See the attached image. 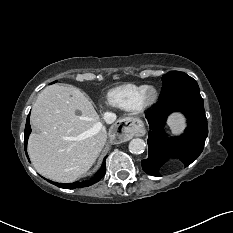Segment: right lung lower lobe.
<instances>
[{
    "label": "right lung lower lobe",
    "mask_w": 233,
    "mask_h": 233,
    "mask_svg": "<svg viewBox=\"0 0 233 233\" xmlns=\"http://www.w3.org/2000/svg\"><path fill=\"white\" fill-rule=\"evenodd\" d=\"M29 116H30V114L27 117L25 131H24V148H25V151L27 149L28 137H29V134L31 133V127H30V123H29ZM26 156L28 157L27 152H26ZM106 157L104 158V162H103V165H102L101 169L98 171V173L95 175V177L92 178L91 180H87V181H83V182L68 183V184H60V183L52 182V181H50V183H53L54 185H56V186H58L60 188H69V189L90 186V185L98 182L105 175V159H106Z\"/></svg>",
    "instance_id": "obj_1"
}]
</instances>
